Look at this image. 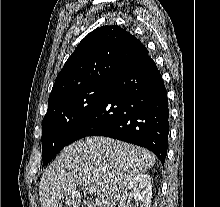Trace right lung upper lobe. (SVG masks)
<instances>
[{"instance_id": "1", "label": "right lung upper lobe", "mask_w": 220, "mask_h": 207, "mask_svg": "<svg viewBox=\"0 0 220 207\" xmlns=\"http://www.w3.org/2000/svg\"><path fill=\"white\" fill-rule=\"evenodd\" d=\"M148 54L146 47L117 25L89 33L59 72L48 102L78 88L108 82L126 67Z\"/></svg>"}]
</instances>
